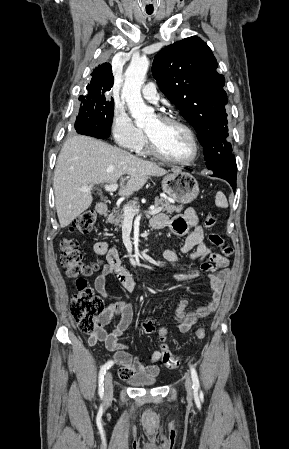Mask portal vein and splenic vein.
I'll list each match as a JSON object with an SVG mask.
<instances>
[{
	"label": "portal vein and splenic vein",
	"instance_id": "1",
	"mask_svg": "<svg viewBox=\"0 0 289 449\" xmlns=\"http://www.w3.org/2000/svg\"><path fill=\"white\" fill-rule=\"evenodd\" d=\"M92 187H93V185H90V186H87V187H82L80 190L83 191V192H88V191H90V189ZM117 188H118V184L117 183L109 184V185L106 184L105 185V190L108 191V192H114V191L117 190ZM162 209H163V207L151 206L149 208V211H147V214L154 215V214H157L160 211H162ZM139 211H140L139 209H133V208L128 207V206H125L124 209H123L124 216L126 218H133L136 214L139 213Z\"/></svg>",
	"mask_w": 289,
	"mask_h": 449
}]
</instances>
